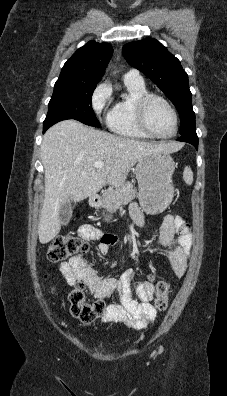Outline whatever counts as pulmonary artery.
<instances>
[{
	"label": "pulmonary artery",
	"mask_w": 227,
	"mask_h": 396,
	"mask_svg": "<svg viewBox=\"0 0 227 396\" xmlns=\"http://www.w3.org/2000/svg\"><path fill=\"white\" fill-rule=\"evenodd\" d=\"M124 80H131L137 82H143L142 76L135 69H131L124 74Z\"/></svg>",
	"instance_id": "obj_1"
}]
</instances>
